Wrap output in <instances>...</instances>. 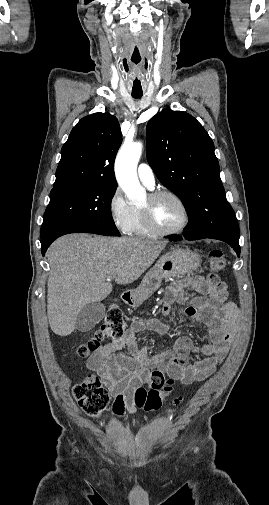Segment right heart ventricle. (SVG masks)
Segmentation results:
<instances>
[{"instance_id":"obj_1","label":"right heart ventricle","mask_w":269,"mask_h":505,"mask_svg":"<svg viewBox=\"0 0 269 505\" xmlns=\"http://www.w3.org/2000/svg\"><path fill=\"white\" fill-rule=\"evenodd\" d=\"M132 210H133L132 222L128 233L135 236L150 235L151 233L147 230V228L143 223L140 208L132 206Z\"/></svg>"}]
</instances>
